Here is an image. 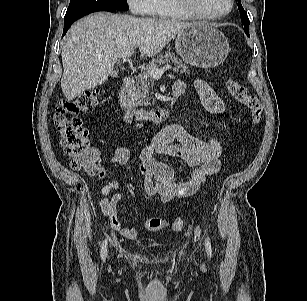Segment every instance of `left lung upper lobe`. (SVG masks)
<instances>
[{"label": "left lung upper lobe", "mask_w": 307, "mask_h": 301, "mask_svg": "<svg viewBox=\"0 0 307 301\" xmlns=\"http://www.w3.org/2000/svg\"><path fill=\"white\" fill-rule=\"evenodd\" d=\"M238 1V9L240 11V14H241V21L243 22V24L245 25L244 27V31L247 35H249V19H248V16H247V13L244 11L242 5H241V1L240 0H236Z\"/></svg>", "instance_id": "1"}]
</instances>
